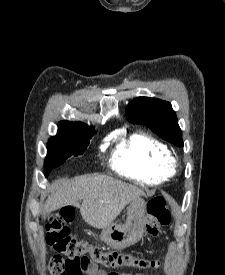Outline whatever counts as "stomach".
I'll return each instance as SVG.
<instances>
[{
    "instance_id": "1",
    "label": "stomach",
    "mask_w": 225,
    "mask_h": 275,
    "mask_svg": "<svg viewBox=\"0 0 225 275\" xmlns=\"http://www.w3.org/2000/svg\"><path fill=\"white\" fill-rule=\"evenodd\" d=\"M147 203L141 197L131 201L124 223H112L102 229L100 239L111 248L123 249L137 243L146 226Z\"/></svg>"
}]
</instances>
